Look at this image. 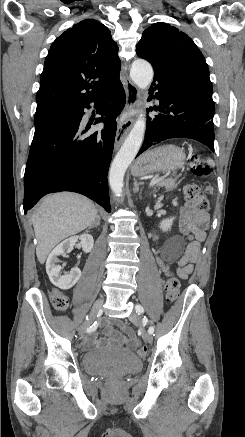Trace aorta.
Masks as SVG:
<instances>
[{
	"label": "aorta",
	"instance_id": "762f6f07",
	"mask_svg": "<svg viewBox=\"0 0 245 437\" xmlns=\"http://www.w3.org/2000/svg\"><path fill=\"white\" fill-rule=\"evenodd\" d=\"M130 76L139 89L145 90L153 79L152 66L143 59H136L132 63ZM145 127L146 121L144 115L140 114L111 165L109 183L112 192L117 197L122 194L124 174L140 149Z\"/></svg>",
	"mask_w": 245,
	"mask_h": 437
}]
</instances>
